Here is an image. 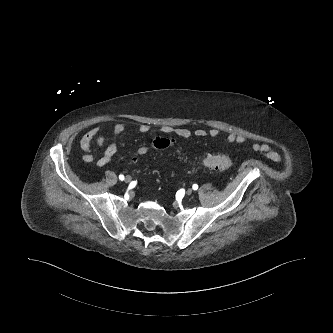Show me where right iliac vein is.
Masks as SVG:
<instances>
[{
	"label": "right iliac vein",
	"instance_id": "1",
	"mask_svg": "<svg viewBox=\"0 0 333 333\" xmlns=\"http://www.w3.org/2000/svg\"><path fill=\"white\" fill-rule=\"evenodd\" d=\"M131 177L130 176H126L125 177V179H124V181L126 182V183H129L130 181H131Z\"/></svg>",
	"mask_w": 333,
	"mask_h": 333
}]
</instances>
